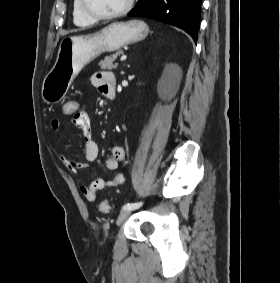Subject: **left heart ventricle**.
Masks as SVG:
<instances>
[{
    "label": "left heart ventricle",
    "instance_id": "1",
    "mask_svg": "<svg viewBox=\"0 0 280 283\" xmlns=\"http://www.w3.org/2000/svg\"><path fill=\"white\" fill-rule=\"evenodd\" d=\"M127 0H87L91 10L98 14H112L121 10Z\"/></svg>",
    "mask_w": 280,
    "mask_h": 283
}]
</instances>
